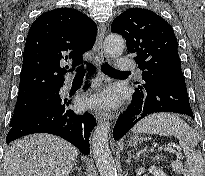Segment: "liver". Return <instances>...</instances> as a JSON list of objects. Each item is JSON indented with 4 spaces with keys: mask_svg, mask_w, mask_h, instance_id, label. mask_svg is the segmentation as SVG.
Masks as SVG:
<instances>
[{
    "mask_svg": "<svg viewBox=\"0 0 205 176\" xmlns=\"http://www.w3.org/2000/svg\"><path fill=\"white\" fill-rule=\"evenodd\" d=\"M77 155V149L60 137L28 135L5 152L4 176H68Z\"/></svg>",
    "mask_w": 205,
    "mask_h": 176,
    "instance_id": "1",
    "label": "liver"
}]
</instances>
